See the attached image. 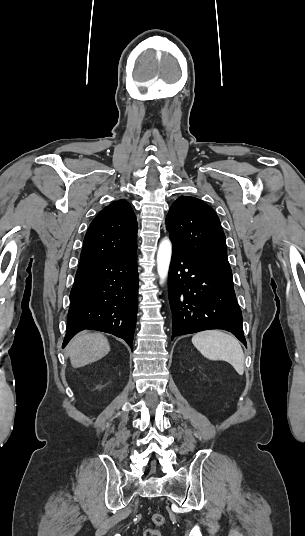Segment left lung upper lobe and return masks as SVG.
Returning a JSON list of instances; mask_svg holds the SVG:
<instances>
[{
  "mask_svg": "<svg viewBox=\"0 0 305 536\" xmlns=\"http://www.w3.org/2000/svg\"><path fill=\"white\" fill-rule=\"evenodd\" d=\"M166 228L175 249L196 258L229 265L220 220L202 200L179 197L170 207Z\"/></svg>",
  "mask_w": 305,
  "mask_h": 536,
  "instance_id": "obj_1",
  "label": "left lung upper lobe"
}]
</instances>
